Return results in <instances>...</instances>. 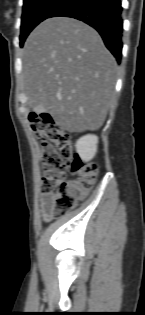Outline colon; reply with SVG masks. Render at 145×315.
<instances>
[{
	"mask_svg": "<svg viewBox=\"0 0 145 315\" xmlns=\"http://www.w3.org/2000/svg\"><path fill=\"white\" fill-rule=\"evenodd\" d=\"M29 123L42 147L41 192L53 195L55 214H62L93 186L98 166L80 158L71 136L50 115L32 114ZM67 173L75 178L67 181Z\"/></svg>",
	"mask_w": 145,
	"mask_h": 315,
	"instance_id": "1",
	"label": "colon"
}]
</instances>
